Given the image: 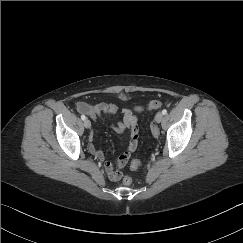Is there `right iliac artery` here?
<instances>
[{"label":"right iliac artery","mask_w":243,"mask_h":243,"mask_svg":"<svg viewBox=\"0 0 243 243\" xmlns=\"http://www.w3.org/2000/svg\"><path fill=\"white\" fill-rule=\"evenodd\" d=\"M81 119H82V120H85V119H86L85 115H82V116H81Z\"/></svg>","instance_id":"82829eb1"}]
</instances>
